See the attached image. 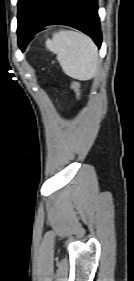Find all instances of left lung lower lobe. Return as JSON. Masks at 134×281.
<instances>
[{
	"instance_id": "left-lung-lower-lobe-1",
	"label": "left lung lower lobe",
	"mask_w": 134,
	"mask_h": 281,
	"mask_svg": "<svg viewBox=\"0 0 134 281\" xmlns=\"http://www.w3.org/2000/svg\"><path fill=\"white\" fill-rule=\"evenodd\" d=\"M62 24L89 35L98 48L102 37L97 0H41L25 28L18 32V44L22 51L31 37L42 27Z\"/></svg>"
}]
</instances>
